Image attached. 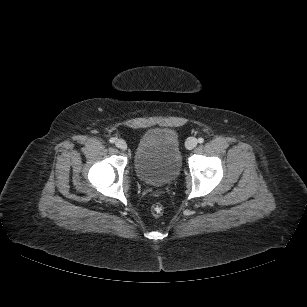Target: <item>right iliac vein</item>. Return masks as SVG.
Returning a JSON list of instances; mask_svg holds the SVG:
<instances>
[{"mask_svg": "<svg viewBox=\"0 0 307 307\" xmlns=\"http://www.w3.org/2000/svg\"><path fill=\"white\" fill-rule=\"evenodd\" d=\"M115 145L117 148L121 149V150H126L127 149V143L122 140V139H119L115 142Z\"/></svg>", "mask_w": 307, "mask_h": 307, "instance_id": "right-iliac-vein-1", "label": "right iliac vein"}]
</instances>
